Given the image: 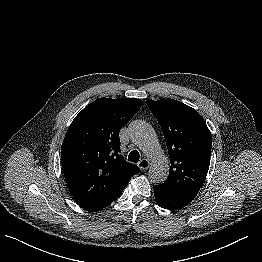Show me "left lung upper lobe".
<instances>
[{
    "label": "left lung upper lobe",
    "instance_id": "1",
    "mask_svg": "<svg viewBox=\"0 0 262 262\" xmlns=\"http://www.w3.org/2000/svg\"><path fill=\"white\" fill-rule=\"evenodd\" d=\"M168 148L170 172L163 188L194 199L208 173L212 136L202 116L174 99L146 100Z\"/></svg>",
    "mask_w": 262,
    "mask_h": 262
}]
</instances>
